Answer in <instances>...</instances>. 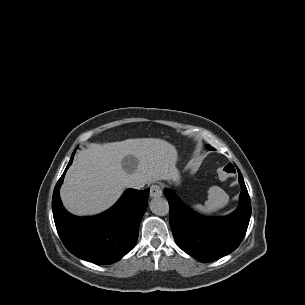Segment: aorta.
<instances>
[{"label":"aorta","instance_id":"aorta-1","mask_svg":"<svg viewBox=\"0 0 305 305\" xmlns=\"http://www.w3.org/2000/svg\"><path fill=\"white\" fill-rule=\"evenodd\" d=\"M149 206L151 211L159 216L167 215L169 212L168 202L162 197H155L152 199Z\"/></svg>","mask_w":305,"mask_h":305}]
</instances>
